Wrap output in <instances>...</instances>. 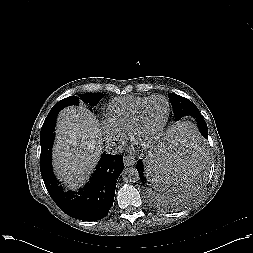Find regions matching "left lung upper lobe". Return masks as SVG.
I'll list each match as a JSON object with an SVG mask.
<instances>
[{
  "label": "left lung upper lobe",
  "mask_w": 253,
  "mask_h": 253,
  "mask_svg": "<svg viewBox=\"0 0 253 253\" xmlns=\"http://www.w3.org/2000/svg\"><path fill=\"white\" fill-rule=\"evenodd\" d=\"M169 100L174 109V116L176 120L185 116H192L196 119L198 128L204 138H207L208 129L198 108L187 98L179 96L174 93L169 94Z\"/></svg>",
  "instance_id": "1"
}]
</instances>
